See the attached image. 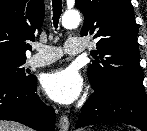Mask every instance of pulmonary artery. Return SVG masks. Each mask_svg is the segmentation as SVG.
Here are the masks:
<instances>
[{
  "label": "pulmonary artery",
  "mask_w": 147,
  "mask_h": 131,
  "mask_svg": "<svg viewBox=\"0 0 147 131\" xmlns=\"http://www.w3.org/2000/svg\"><path fill=\"white\" fill-rule=\"evenodd\" d=\"M85 47V43L78 38L67 39L63 48L36 43L37 53L28 59L27 64L33 68L42 67L55 62L63 54L75 55L82 53Z\"/></svg>",
  "instance_id": "obj_1"
}]
</instances>
